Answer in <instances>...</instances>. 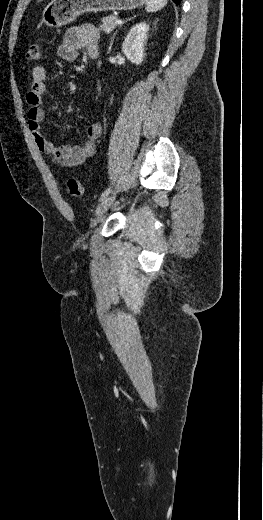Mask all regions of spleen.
Segmentation results:
<instances>
[{
  "mask_svg": "<svg viewBox=\"0 0 263 520\" xmlns=\"http://www.w3.org/2000/svg\"><path fill=\"white\" fill-rule=\"evenodd\" d=\"M167 2L168 0H147L145 9L147 12H156L162 9L167 4Z\"/></svg>",
  "mask_w": 263,
  "mask_h": 520,
  "instance_id": "spleen-1",
  "label": "spleen"
}]
</instances>
